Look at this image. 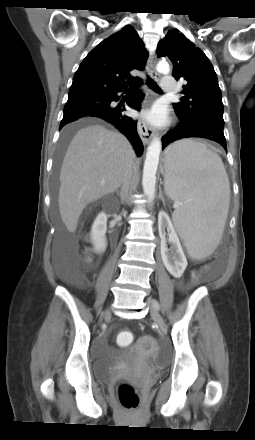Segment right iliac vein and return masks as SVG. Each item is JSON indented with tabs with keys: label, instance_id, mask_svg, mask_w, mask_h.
<instances>
[{
	"label": "right iliac vein",
	"instance_id": "63e3f726",
	"mask_svg": "<svg viewBox=\"0 0 255 440\" xmlns=\"http://www.w3.org/2000/svg\"><path fill=\"white\" fill-rule=\"evenodd\" d=\"M110 315V310L109 309H107L105 312H104V315H103V317H108Z\"/></svg>",
	"mask_w": 255,
	"mask_h": 440
}]
</instances>
